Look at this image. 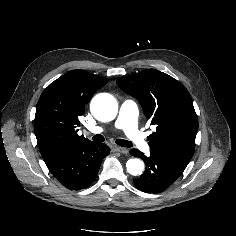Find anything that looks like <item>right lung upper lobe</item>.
<instances>
[{
  "instance_id": "obj_1",
  "label": "right lung upper lobe",
  "mask_w": 236,
  "mask_h": 236,
  "mask_svg": "<svg viewBox=\"0 0 236 236\" xmlns=\"http://www.w3.org/2000/svg\"><path fill=\"white\" fill-rule=\"evenodd\" d=\"M108 79L83 70H71L52 82L36 106L34 131L43 158L74 143L90 140L77 134L84 106Z\"/></svg>"
}]
</instances>
